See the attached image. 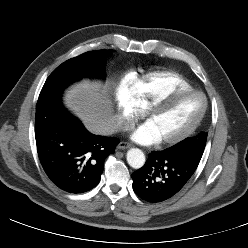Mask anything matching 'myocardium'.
I'll use <instances>...</instances> for the list:
<instances>
[{"instance_id": "obj_1", "label": "myocardium", "mask_w": 248, "mask_h": 248, "mask_svg": "<svg viewBox=\"0 0 248 248\" xmlns=\"http://www.w3.org/2000/svg\"><path fill=\"white\" fill-rule=\"evenodd\" d=\"M187 95H199L203 99V108L199 116L196 118V120L185 130L180 132L179 134L161 139L159 142L163 145H174L177 144L186 138H188L191 134L194 133V131L199 127L201 124L203 118L206 115L207 109H208V100L206 95L198 90L195 89H179V90H173L159 98H157L155 101H153L147 108L146 111V119L148 120L151 116H153L156 112L162 110L165 106H167L169 103L173 102L174 100L187 96Z\"/></svg>"}]
</instances>
